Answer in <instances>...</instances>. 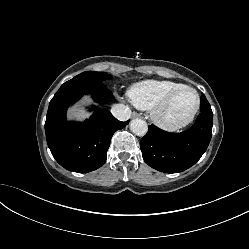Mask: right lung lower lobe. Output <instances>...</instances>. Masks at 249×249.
Masks as SVG:
<instances>
[{
  "mask_svg": "<svg viewBox=\"0 0 249 249\" xmlns=\"http://www.w3.org/2000/svg\"><path fill=\"white\" fill-rule=\"evenodd\" d=\"M84 94H91L97 103L114 100L103 83L71 79L60 87L50 101L45 122L46 139L53 157L67 170L78 173L101 167L107 159L113 134L129 122L118 121L107 109L96 110L81 123L67 121L68 107Z\"/></svg>",
  "mask_w": 249,
  "mask_h": 249,
  "instance_id": "1",
  "label": "right lung lower lobe"
}]
</instances>
